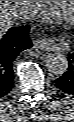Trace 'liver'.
Wrapping results in <instances>:
<instances>
[{"label": "liver", "instance_id": "obj_1", "mask_svg": "<svg viewBox=\"0 0 74 122\" xmlns=\"http://www.w3.org/2000/svg\"><path fill=\"white\" fill-rule=\"evenodd\" d=\"M32 1H0V35L3 36L20 17L23 6Z\"/></svg>", "mask_w": 74, "mask_h": 122}]
</instances>
